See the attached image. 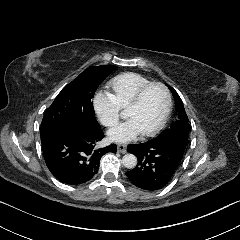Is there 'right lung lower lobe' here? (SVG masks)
<instances>
[{"mask_svg": "<svg viewBox=\"0 0 240 240\" xmlns=\"http://www.w3.org/2000/svg\"><path fill=\"white\" fill-rule=\"evenodd\" d=\"M104 137L101 127H70L41 135L42 150L50 172L62 183L83 184L98 172L101 157L116 152L112 144L96 145Z\"/></svg>", "mask_w": 240, "mask_h": 240, "instance_id": "98d812e1", "label": "right lung lower lobe"}]
</instances>
